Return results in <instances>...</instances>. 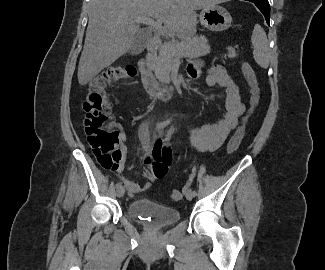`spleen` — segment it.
<instances>
[{
	"label": "spleen",
	"mask_w": 325,
	"mask_h": 270,
	"mask_svg": "<svg viewBox=\"0 0 325 270\" xmlns=\"http://www.w3.org/2000/svg\"><path fill=\"white\" fill-rule=\"evenodd\" d=\"M251 42L256 63L260 67L267 69L270 61L269 43L264 29L259 24L254 26Z\"/></svg>",
	"instance_id": "1"
}]
</instances>
